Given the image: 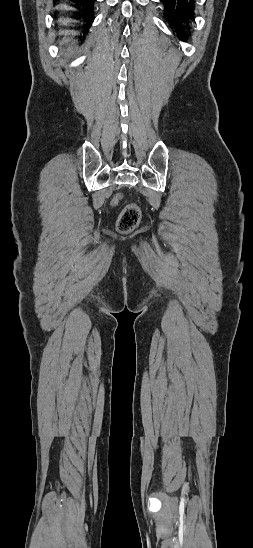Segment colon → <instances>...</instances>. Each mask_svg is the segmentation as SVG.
<instances>
[{
	"mask_svg": "<svg viewBox=\"0 0 253 548\" xmlns=\"http://www.w3.org/2000/svg\"><path fill=\"white\" fill-rule=\"evenodd\" d=\"M141 210L136 204L127 205L117 221V230L122 234L132 232L140 223Z\"/></svg>",
	"mask_w": 253,
	"mask_h": 548,
	"instance_id": "obj_1",
	"label": "colon"
}]
</instances>
